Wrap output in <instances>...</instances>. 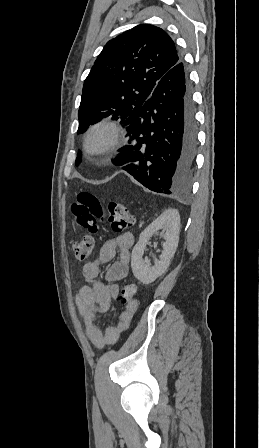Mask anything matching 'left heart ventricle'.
Returning <instances> with one entry per match:
<instances>
[{"label": "left heart ventricle", "mask_w": 259, "mask_h": 448, "mask_svg": "<svg viewBox=\"0 0 259 448\" xmlns=\"http://www.w3.org/2000/svg\"><path fill=\"white\" fill-rule=\"evenodd\" d=\"M100 141V136H97L95 139H94V143L96 144V143H98Z\"/></svg>", "instance_id": "left-heart-ventricle-1"}]
</instances>
